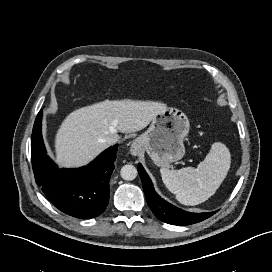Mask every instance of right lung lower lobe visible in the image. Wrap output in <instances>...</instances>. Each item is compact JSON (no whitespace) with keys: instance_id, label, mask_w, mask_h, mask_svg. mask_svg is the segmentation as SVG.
I'll list each match as a JSON object with an SVG mask.
<instances>
[{"instance_id":"obj_1","label":"right lung lower lobe","mask_w":272,"mask_h":272,"mask_svg":"<svg viewBox=\"0 0 272 272\" xmlns=\"http://www.w3.org/2000/svg\"><path fill=\"white\" fill-rule=\"evenodd\" d=\"M42 112L41 109L36 117L31 137V159L37 185L65 214L82 219L100 215L109 202V180L118 145L106 149L87 166L60 169L46 153L41 132Z\"/></svg>"}]
</instances>
